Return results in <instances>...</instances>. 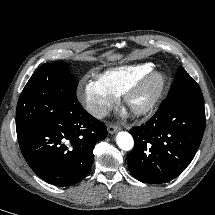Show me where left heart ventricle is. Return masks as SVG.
<instances>
[{
    "mask_svg": "<svg viewBox=\"0 0 215 215\" xmlns=\"http://www.w3.org/2000/svg\"><path fill=\"white\" fill-rule=\"evenodd\" d=\"M156 87L155 83L148 85L142 91H140L133 99H132V106L139 107L144 105L151 97L154 89Z\"/></svg>",
    "mask_w": 215,
    "mask_h": 215,
    "instance_id": "1",
    "label": "left heart ventricle"
}]
</instances>
